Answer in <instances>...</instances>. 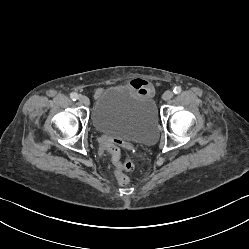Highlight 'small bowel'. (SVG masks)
Instances as JSON below:
<instances>
[{"instance_id": "1", "label": "small bowel", "mask_w": 249, "mask_h": 249, "mask_svg": "<svg viewBox=\"0 0 249 249\" xmlns=\"http://www.w3.org/2000/svg\"><path fill=\"white\" fill-rule=\"evenodd\" d=\"M127 86L140 92L143 96L151 97L154 93L153 85L147 80L133 79L127 83Z\"/></svg>"}]
</instances>
